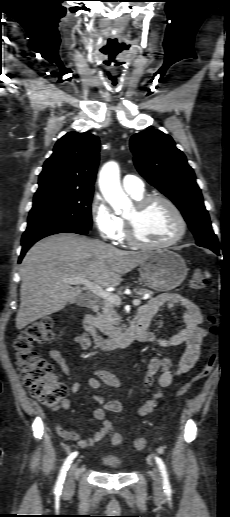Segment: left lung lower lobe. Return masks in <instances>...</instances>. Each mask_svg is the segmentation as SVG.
Returning <instances> with one entry per match:
<instances>
[{
    "instance_id": "1",
    "label": "left lung lower lobe",
    "mask_w": 230,
    "mask_h": 517,
    "mask_svg": "<svg viewBox=\"0 0 230 517\" xmlns=\"http://www.w3.org/2000/svg\"><path fill=\"white\" fill-rule=\"evenodd\" d=\"M211 249L212 251H214L217 255H219V248L218 247H211L209 248Z\"/></svg>"
}]
</instances>
